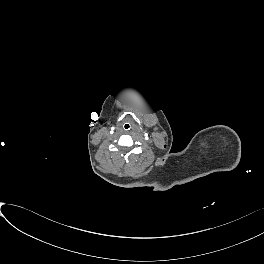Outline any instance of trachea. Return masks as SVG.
Masks as SVG:
<instances>
[{
    "label": "trachea",
    "instance_id": "obj_1",
    "mask_svg": "<svg viewBox=\"0 0 264 264\" xmlns=\"http://www.w3.org/2000/svg\"><path fill=\"white\" fill-rule=\"evenodd\" d=\"M122 127H123V129H124L125 131H129V130H131V128H132V124L129 123V122H125V123H123Z\"/></svg>",
    "mask_w": 264,
    "mask_h": 264
}]
</instances>
